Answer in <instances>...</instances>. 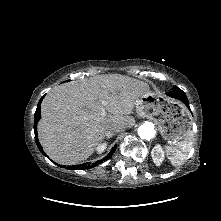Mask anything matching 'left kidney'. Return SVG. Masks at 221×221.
Here are the masks:
<instances>
[{
	"label": "left kidney",
	"mask_w": 221,
	"mask_h": 221,
	"mask_svg": "<svg viewBox=\"0 0 221 221\" xmlns=\"http://www.w3.org/2000/svg\"><path fill=\"white\" fill-rule=\"evenodd\" d=\"M151 156L154 163L157 166H160L162 161L164 160V152L162 147L160 145H156L151 151Z\"/></svg>",
	"instance_id": "5707ae66"
}]
</instances>
